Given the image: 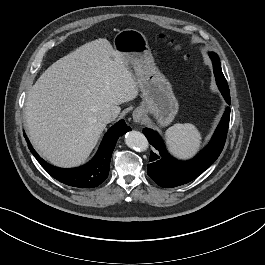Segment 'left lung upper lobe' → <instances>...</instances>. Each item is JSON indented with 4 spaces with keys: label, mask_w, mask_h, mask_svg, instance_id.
<instances>
[{
    "label": "left lung upper lobe",
    "mask_w": 265,
    "mask_h": 265,
    "mask_svg": "<svg viewBox=\"0 0 265 265\" xmlns=\"http://www.w3.org/2000/svg\"><path fill=\"white\" fill-rule=\"evenodd\" d=\"M210 57H211L212 61L220 63L219 58H218L216 53L211 52L210 53ZM218 72H219V79L221 80V83H222L223 87L228 90L229 87H228L227 81H226V79H225V77H224V75L222 73L221 65L218 67Z\"/></svg>",
    "instance_id": "left-lung-upper-lobe-1"
}]
</instances>
